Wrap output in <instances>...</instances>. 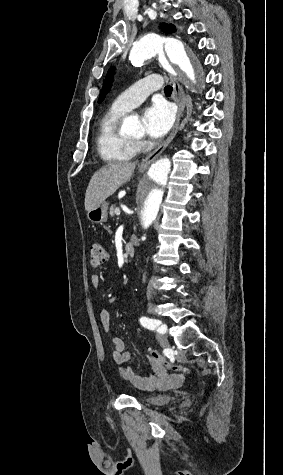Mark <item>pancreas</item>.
Segmentation results:
<instances>
[{"label":"pancreas","instance_id":"1","mask_svg":"<svg viewBox=\"0 0 283 475\" xmlns=\"http://www.w3.org/2000/svg\"><path fill=\"white\" fill-rule=\"evenodd\" d=\"M115 210H117V208H115V206H111L110 212H109L111 218H113V216H115V214H116Z\"/></svg>","mask_w":283,"mask_h":475}]
</instances>
